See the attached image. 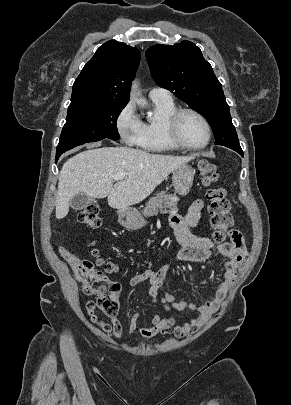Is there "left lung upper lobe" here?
<instances>
[{
	"label": "left lung upper lobe",
	"instance_id": "5c2ea615",
	"mask_svg": "<svg viewBox=\"0 0 291 405\" xmlns=\"http://www.w3.org/2000/svg\"><path fill=\"white\" fill-rule=\"evenodd\" d=\"M145 55L156 84L207 118L216 145L241 148L222 85L199 47L190 41L154 45Z\"/></svg>",
	"mask_w": 291,
	"mask_h": 405
}]
</instances>
